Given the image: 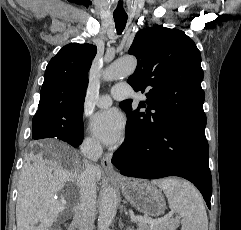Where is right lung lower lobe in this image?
<instances>
[{
  "instance_id": "right-lung-lower-lobe-1",
  "label": "right lung lower lobe",
  "mask_w": 241,
  "mask_h": 230,
  "mask_svg": "<svg viewBox=\"0 0 241 230\" xmlns=\"http://www.w3.org/2000/svg\"><path fill=\"white\" fill-rule=\"evenodd\" d=\"M35 115H37V114H35ZM52 135L55 136V133H52ZM69 142H70V143H69ZM69 142H68V143L71 144L73 147H79L80 144L82 143V142H80V143H75V142H71V141H69Z\"/></svg>"
}]
</instances>
